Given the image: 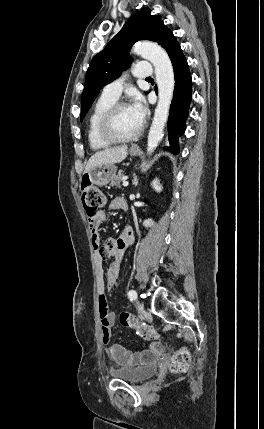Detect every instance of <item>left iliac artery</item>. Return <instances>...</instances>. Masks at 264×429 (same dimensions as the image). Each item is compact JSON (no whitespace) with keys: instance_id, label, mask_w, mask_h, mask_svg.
I'll return each mask as SVG.
<instances>
[{"instance_id":"left-iliac-artery-1","label":"left iliac artery","mask_w":264,"mask_h":429,"mask_svg":"<svg viewBox=\"0 0 264 429\" xmlns=\"http://www.w3.org/2000/svg\"><path fill=\"white\" fill-rule=\"evenodd\" d=\"M136 292L135 290H129L128 291V297L130 298V300H132V293Z\"/></svg>"}]
</instances>
